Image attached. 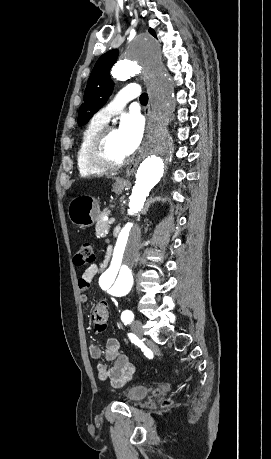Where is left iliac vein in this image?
I'll return each mask as SVG.
<instances>
[{
    "label": "left iliac vein",
    "mask_w": 271,
    "mask_h": 459,
    "mask_svg": "<svg viewBox=\"0 0 271 459\" xmlns=\"http://www.w3.org/2000/svg\"><path fill=\"white\" fill-rule=\"evenodd\" d=\"M132 329L135 335H137L140 339L143 338L144 331H143V325L140 320H134L132 324Z\"/></svg>",
    "instance_id": "1"
}]
</instances>
